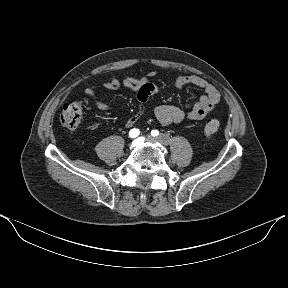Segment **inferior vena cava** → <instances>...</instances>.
<instances>
[{
  "mask_svg": "<svg viewBox=\"0 0 288 288\" xmlns=\"http://www.w3.org/2000/svg\"><path fill=\"white\" fill-rule=\"evenodd\" d=\"M158 141L163 147H168L170 145V140L167 138V135L165 133H160L158 135Z\"/></svg>",
  "mask_w": 288,
  "mask_h": 288,
  "instance_id": "inferior-vena-cava-1",
  "label": "inferior vena cava"
}]
</instances>
